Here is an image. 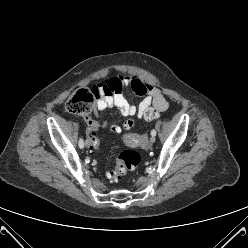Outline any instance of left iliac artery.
<instances>
[{
	"label": "left iliac artery",
	"instance_id": "1",
	"mask_svg": "<svg viewBox=\"0 0 248 248\" xmlns=\"http://www.w3.org/2000/svg\"><path fill=\"white\" fill-rule=\"evenodd\" d=\"M151 135L152 136H156V131L153 129V130H151Z\"/></svg>",
	"mask_w": 248,
	"mask_h": 248
}]
</instances>
